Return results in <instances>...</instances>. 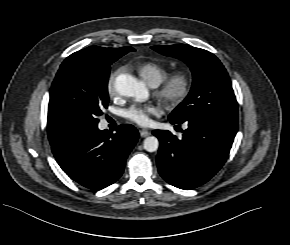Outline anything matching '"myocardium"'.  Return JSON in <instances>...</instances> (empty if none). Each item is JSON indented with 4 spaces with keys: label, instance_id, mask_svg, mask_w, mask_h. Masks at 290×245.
Returning a JSON list of instances; mask_svg holds the SVG:
<instances>
[{
    "label": "myocardium",
    "instance_id": "obj_1",
    "mask_svg": "<svg viewBox=\"0 0 290 245\" xmlns=\"http://www.w3.org/2000/svg\"><path fill=\"white\" fill-rule=\"evenodd\" d=\"M192 84V76L185 71H179L163 81L157 89L156 95L167 107H175L187 98Z\"/></svg>",
    "mask_w": 290,
    "mask_h": 245
}]
</instances>
